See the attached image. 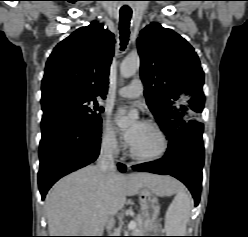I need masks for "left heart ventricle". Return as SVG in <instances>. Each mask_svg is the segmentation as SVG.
<instances>
[{
  "instance_id": "b2bd125f",
  "label": "left heart ventricle",
  "mask_w": 248,
  "mask_h": 237,
  "mask_svg": "<svg viewBox=\"0 0 248 237\" xmlns=\"http://www.w3.org/2000/svg\"><path fill=\"white\" fill-rule=\"evenodd\" d=\"M160 145V139L156 132L144 124L131 147L142 155H150L157 152Z\"/></svg>"
}]
</instances>
